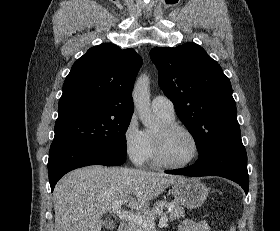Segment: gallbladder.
I'll use <instances>...</instances> for the list:
<instances>
[{"label": "gallbladder", "instance_id": "obj_1", "mask_svg": "<svg viewBox=\"0 0 280 231\" xmlns=\"http://www.w3.org/2000/svg\"><path fill=\"white\" fill-rule=\"evenodd\" d=\"M103 227H106V229H114V227H116V223L113 219H110V217H106L103 221Z\"/></svg>", "mask_w": 280, "mask_h": 231}]
</instances>
